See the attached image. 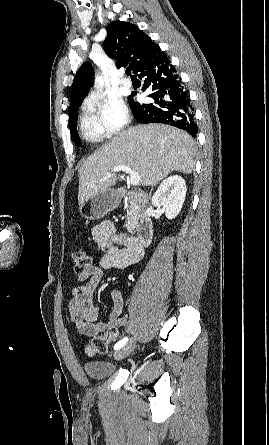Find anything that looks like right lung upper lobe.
<instances>
[{"mask_svg": "<svg viewBox=\"0 0 269 445\" xmlns=\"http://www.w3.org/2000/svg\"><path fill=\"white\" fill-rule=\"evenodd\" d=\"M107 29L104 50L109 57L117 60V67L129 64L134 74H138L147 64L165 54L134 24L124 21L111 22ZM92 76V65L85 62L73 80L70 108L81 103L87 95L92 85Z\"/></svg>", "mask_w": 269, "mask_h": 445, "instance_id": "1", "label": "right lung upper lobe"}]
</instances>
